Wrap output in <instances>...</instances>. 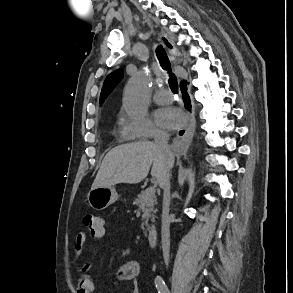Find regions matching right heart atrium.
Wrapping results in <instances>:
<instances>
[{"instance_id": "obj_1", "label": "right heart atrium", "mask_w": 293, "mask_h": 293, "mask_svg": "<svg viewBox=\"0 0 293 293\" xmlns=\"http://www.w3.org/2000/svg\"><path fill=\"white\" fill-rule=\"evenodd\" d=\"M120 122L123 127L124 135L128 139L134 138H157L165 136V132L161 130L147 116L131 117L125 111L120 112Z\"/></svg>"}]
</instances>
